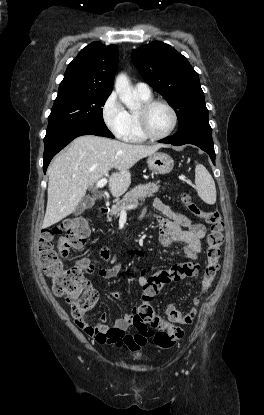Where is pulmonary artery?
<instances>
[{"instance_id": "pulmonary-artery-1", "label": "pulmonary artery", "mask_w": 264, "mask_h": 415, "mask_svg": "<svg viewBox=\"0 0 264 415\" xmlns=\"http://www.w3.org/2000/svg\"><path fill=\"white\" fill-rule=\"evenodd\" d=\"M135 90L138 94L144 95V96H150L151 95V89L148 84L138 82L135 84Z\"/></svg>"}]
</instances>
